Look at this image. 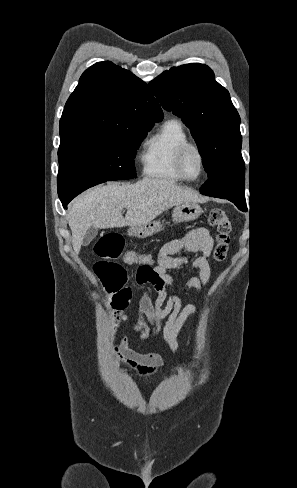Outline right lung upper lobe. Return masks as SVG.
Instances as JSON below:
<instances>
[{"mask_svg":"<svg viewBox=\"0 0 297 488\" xmlns=\"http://www.w3.org/2000/svg\"><path fill=\"white\" fill-rule=\"evenodd\" d=\"M163 119L147 84L112 62H98L81 76L60 119V138L119 133Z\"/></svg>","mask_w":297,"mask_h":488,"instance_id":"1","label":"right lung upper lobe"}]
</instances>
